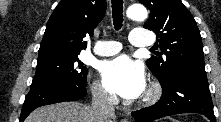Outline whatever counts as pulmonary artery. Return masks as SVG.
Instances as JSON below:
<instances>
[{
	"label": "pulmonary artery",
	"instance_id": "pulmonary-artery-1",
	"mask_svg": "<svg viewBox=\"0 0 221 122\" xmlns=\"http://www.w3.org/2000/svg\"><path fill=\"white\" fill-rule=\"evenodd\" d=\"M129 42L135 47H148L152 44L151 38L140 29H134L131 31ZM121 48L122 45L118 41H99L93 51L100 56H110L118 53Z\"/></svg>",
	"mask_w": 221,
	"mask_h": 122
}]
</instances>
